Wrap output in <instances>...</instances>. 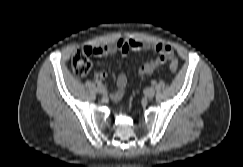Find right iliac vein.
Segmentation results:
<instances>
[{
    "label": "right iliac vein",
    "instance_id": "right-iliac-vein-1",
    "mask_svg": "<svg viewBox=\"0 0 243 167\" xmlns=\"http://www.w3.org/2000/svg\"><path fill=\"white\" fill-rule=\"evenodd\" d=\"M98 92H99L100 94L104 95V94H106V89H105L103 86L98 87Z\"/></svg>",
    "mask_w": 243,
    "mask_h": 167
}]
</instances>
